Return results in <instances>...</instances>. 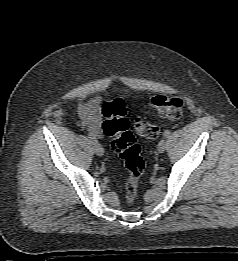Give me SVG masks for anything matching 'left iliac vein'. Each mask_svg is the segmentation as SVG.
<instances>
[{
	"label": "left iliac vein",
	"instance_id": "4c4485c4",
	"mask_svg": "<svg viewBox=\"0 0 238 261\" xmlns=\"http://www.w3.org/2000/svg\"><path fill=\"white\" fill-rule=\"evenodd\" d=\"M166 146H167V143L165 140H161L159 143H158V146H157V150L159 153H163L166 149Z\"/></svg>",
	"mask_w": 238,
	"mask_h": 261
}]
</instances>
